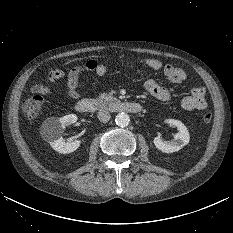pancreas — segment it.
<instances>
[{"mask_svg":"<svg viewBox=\"0 0 233 233\" xmlns=\"http://www.w3.org/2000/svg\"><path fill=\"white\" fill-rule=\"evenodd\" d=\"M99 100L103 103V104H107L113 100H117L115 97L107 94V93H101L99 94Z\"/></svg>","mask_w":233,"mask_h":233,"instance_id":"cf45deb5","label":"pancreas"}]
</instances>
